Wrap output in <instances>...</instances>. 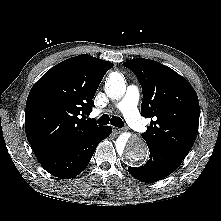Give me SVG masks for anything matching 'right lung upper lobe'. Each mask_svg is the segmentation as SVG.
Listing matches in <instances>:
<instances>
[{
  "instance_id": "obj_1",
  "label": "right lung upper lobe",
  "mask_w": 221,
  "mask_h": 221,
  "mask_svg": "<svg viewBox=\"0 0 221 221\" xmlns=\"http://www.w3.org/2000/svg\"><path fill=\"white\" fill-rule=\"evenodd\" d=\"M113 64L89 55L60 62L32 87L26 102L25 131L36 157H41L99 130L86 120L105 73Z\"/></svg>"
}]
</instances>
